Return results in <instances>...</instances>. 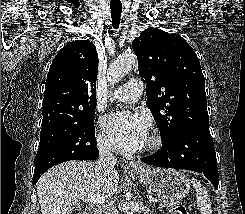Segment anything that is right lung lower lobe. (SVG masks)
<instances>
[{
    "instance_id": "1",
    "label": "right lung lower lobe",
    "mask_w": 245,
    "mask_h": 214,
    "mask_svg": "<svg viewBox=\"0 0 245 214\" xmlns=\"http://www.w3.org/2000/svg\"><path fill=\"white\" fill-rule=\"evenodd\" d=\"M90 155H91V159L89 160H95L98 158L99 156V152H98V149L95 147L92 148V150L89 152ZM45 171H41V172H34V175H33V184H36L38 179L40 178V176L44 173Z\"/></svg>"
}]
</instances>
